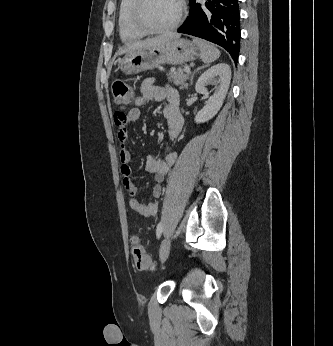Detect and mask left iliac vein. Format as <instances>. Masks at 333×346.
<instances>
[{"instance_id": "4c4485c4", "label": "left iliac vein", "mask_w": 333, "mask_h": 346, "mask_svg": "<svg viewBox=\"0 0 333 346\" xmlns=\"http://www.w3.org/2000/svg\"><path fill=\"white\" fill-rule=\"evenodd\" d=\"M170 247H171V240L169 237H167L162 241L160 245V249H159V258L161 263H163L168 257L170 252Z\"/></svg>"}]
</instances>
